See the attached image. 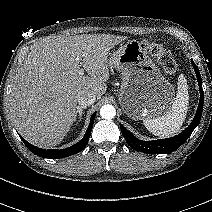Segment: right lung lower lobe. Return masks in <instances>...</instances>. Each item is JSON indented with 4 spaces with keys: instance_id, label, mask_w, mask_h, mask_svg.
<instances>
[{
    "instance_id": "1",
    "label": "right lung lower lobe",
    "mask_w": 212,
    "mask_h": 212,
    "mask_svg": "<svg viewBox=\"0 0 212 212\" xmlns=\"http://www.w3.org/2000/svg\"><path fill=\"white\" fill-rule=\"evenodd\" d=\"M95 115L96 112L93 113V115L91 116L90 119V124L89 127L84 135V137L76 144H74L73 146H71L70 148H66V149H61V150H46V149H42V148H38L33 146L32 144H30L29 142H27L24 138L21 139L22 141L25 143V145L27 146V148L32 151L34 154L43 157V158H50V159H58V158H63V157H67L73 154H76L78 152H80L81 150H83L90 138V134H91V130L93 127V123H94V119H95Z\"/></svg>"
}]
</instances>
